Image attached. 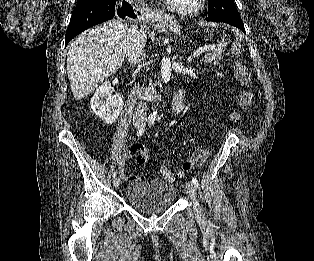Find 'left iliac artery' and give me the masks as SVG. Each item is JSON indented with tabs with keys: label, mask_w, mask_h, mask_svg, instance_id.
Listing matches in <instances>:
<instances>
[{
	"label": "left iliac artery",
	"mask_w": 314,
	"mask_h": 261,
	"mask_svg": "<svg viewBox=\"0 0 314 261\" xmlns=\"http://www.w3.org/2000/svg\"><path fill=\"white\" fill-rule=\"evenodd\" d=\"M155 119L154 118H150L149 119V126H151L152 124H154ZM192 183L196 186L199 187V183L197 181L196 178H192Z\"/></svg>",
	"instance_id": "left-iliac-artery-1"
}]
</instances>
